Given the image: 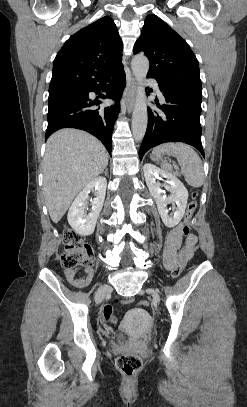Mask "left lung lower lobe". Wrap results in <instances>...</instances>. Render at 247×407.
Instances as JSON below:
<instances>
[{
    "label": "left lung lower lobe",
    "mask_w": 247,
    "mask_h": 407,
    "mask_svg": "<svg viewBox=\"0 0 247 407\" xmlns=\"http://www.w3.org/2000/svg\"><path fill=\"white\" fill-rule=\"evenodd\" d=\"M158 83L166 104L160 106L155 100L161 111L148 108V126L139 150L140 160L149 149L173 141L192 145L205 157L201 143V88L166 81Z\"/></svg>",
    "instance_id": "obj_1"
}]
</instances>
